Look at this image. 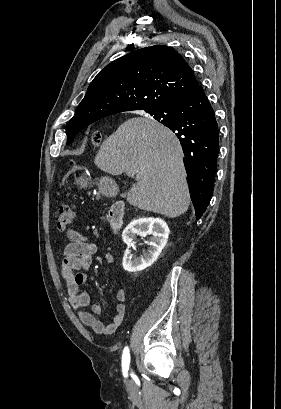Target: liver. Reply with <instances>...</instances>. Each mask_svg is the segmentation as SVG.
<instances>
[{"instance_id":"liver-1","label":"liver","mask_w":281,"mask_h":409,"mask_svg":"<svg viewBox=\"0 0 281 409\" xmlns=\"http://www.w3.org/2000/svg\"><path fill=\"white\" fill-rule=\"evenodd\" d=\"M182 156L172 130L153 118L135 116L102 142L94 162L109 174L136 178L127 192L129 205L174 219L190 205Z\"/></svg>"}]
</instances>
